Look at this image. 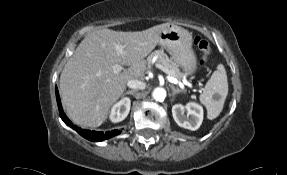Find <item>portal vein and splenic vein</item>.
I'll return each instance as SVG.
<instances>
[{"mask_svg":"<svg viewBox=\"0 0 287 175\" xmlns=\"http://www.w3.org/2000/svg\"><path fill=\"white\" fill-rule=\"evenodd\" d=\"M115 48H116V50H117L120 54H123V49H124V46H123V45H116ZM156 67H157L158 69L162 70L164 73L168 74V71H167L161 64H156ZM122 69H123V67H122L121 65H119V64H115V65L113 66V71H114L115 73L120 72ZM167 79H168L170 82L177 83V82H176V79H175L174 77L170 76L169 74H168V76H167Z\"/></svg>","mask_w":287,"mask_h":175,"instance_id":"1","label":"portal vein and splenic vein"}]
</instances>
